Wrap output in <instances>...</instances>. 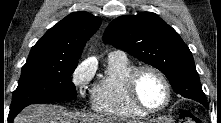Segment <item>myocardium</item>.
Wrapping results in <instances>:
<instances>
[{
	"instance_id": "obj_1",
	"label": "myocardium",
	"mask_w": 221,
	"mask_h": 123,
	"mask_svg": "<svg viewBox=\"0 0 221 123\" xmlns=\"http://www.w3.org/2000/svg\"><path fill=\"white\" fill-rule=\"evenodd\" d=\"M146 71L155 73L163 82L165 90H166V98H165L164 103L161 106L156 107V108H150L146 106L142 102L138 94V89H137L138 79L140 75ZM126 89H127L128 96L131 102L134 104V106H136L139 110H141L142 112L146 114L158 113V112L163 111L170 104V101L172 98V89H171V85L167 76L159 68L153 65H143V66L136 67L127 78Z\"/></svg>"
}]
</instances>
